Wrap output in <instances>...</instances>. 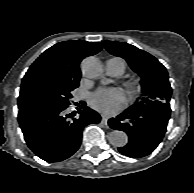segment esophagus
Returning a JSON list of instances; mask_svg holds the SVG:
<instances>
[{
  "mask_svg": "<svg viewBox=\"0 0 194 193\" xmlns=\"http://www.w3.org/2000/svg\"><path fill=\"white\" fill-rule=\"evenodd\" d=\"M102 122H103L104 125H107L108 118L106 116H102Z\"/></svg>",
  "mask_w": 194,
  "mask_h": 193,
  "instance_id": "34e87169",
  "label": "esophagus"
}]
</instances>
